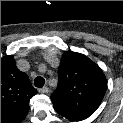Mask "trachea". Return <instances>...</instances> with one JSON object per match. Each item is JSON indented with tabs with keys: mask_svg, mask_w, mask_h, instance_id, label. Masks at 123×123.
Masks as SVG:
<instances>
[{
	"mask_svg": "<svg viewBox=\"0 0 123 123\" xmlns=\"http://www.w3.org/2000/svg\"><path fill=\"white\" fill-rule=\"evenodd\" d=\"M44 84H45V79L43 77H40L39 76V77H36L34 79V85H35V87L42 88L44 86Z\"/></svg>",
	"mask_w": 123,
	"mask_h": 123,
	"instance_id": "1",
	"label": "trachea"
}]
</instances>
